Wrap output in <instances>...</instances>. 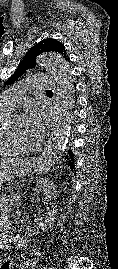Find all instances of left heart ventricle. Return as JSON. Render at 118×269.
Here are the masks:
<instances>
[{"label":"left heart ventricle","instance_id":"left-heart-ventricle-1","mask_svg":"<svg viewBox=\"0 0 118 269\" xmlns=\"http://www.w3.org/2000/svg\"><path fill=\"white\" fill-rule=\"evenodd\" d=\"M24 130H25L24 121L22 119H20L17 121V123L14 127V132L20 136H23Z\"/></svg>","mask_w":118,"mask_h":269}]
</instances>
